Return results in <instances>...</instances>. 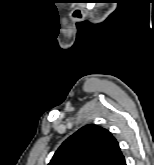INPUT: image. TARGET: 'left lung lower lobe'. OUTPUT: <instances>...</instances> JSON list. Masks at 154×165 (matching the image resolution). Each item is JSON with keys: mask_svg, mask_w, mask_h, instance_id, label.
Masks as SVG:
<instances>
[{"mask_svg": "<svg viewBox=\"0 0 154 165\" xmlns=\"http://www.w3.org/2000/svg\"><path fill=\"white\" fill-rule=\"evenodd\" d=\"M117 165H126L124 157L120 160Z\"/></svg>", "mask_w": 154, "mask_h": 165, "instance_id": "0a47b994", "label": "left lung lower lobe"}]
</instances>
